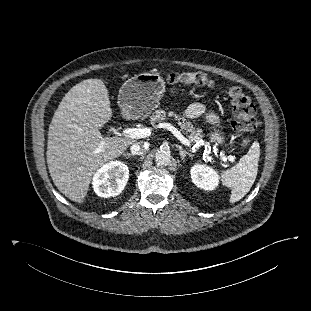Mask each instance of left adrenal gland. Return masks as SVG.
Listing matches in <instances>:
<instances>
[{
  "instance_id": "a2214340",
  "label": "left adrenal gland",
  "mask_w": 311,
  "mask_h": 311,
  "mask_svg": "<svg viewBox=\"0 0 311 311\" xmlns=\"http://www.w3.org/2000/svg\"><path fill=\"white\" fill-rule=\"evenodd\" d=\"M176 147L178 148V150H179V152H180L181 159H182L183 161H185L186 156H188V157L191 158V159L193 158V155L190 154L189 152H187L186 150H184V149L182 148V146L176 145Z\"/></svg>"
}]
</instances>
